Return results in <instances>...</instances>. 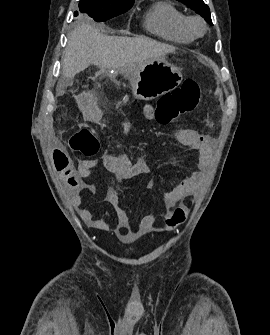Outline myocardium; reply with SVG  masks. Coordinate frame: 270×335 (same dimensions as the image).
Returning <instances> with one entry per match:
<instances>
[{"instance_id":"1","label":"myocardium","mask_w":270,"mask_h":335,"mask_svg":"<svg viewBox=\"0 0 270 335\" xmlns=\"http://www.w3.org/2000/svg\"><path fill=\"white\" fill-rule=\"evenodd\" d=\"M187 28L194 36H202L207 29L205 22L195 16L187 19Z\"/></svg>"}]
</instances>
